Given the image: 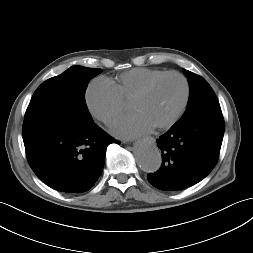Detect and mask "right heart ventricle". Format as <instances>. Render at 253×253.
<instances>
[{
    "label": "right heart ventricle",
    "instance_id": "obj_1",
    "mask_svg": "<svg viewBox=\"0 0 253 253\" xmlns=\"http://www.w3.org/2000/svg\"><path fill=\"white\" fill-rule=\"evenodd\" d=\"M165 71L151 68H134L120 74L111 83L117 89L124 102L130 101L132 97L151 79L161 75Z\"/></svg>",
    "mask_w": 253,
    "mask_h": 253
}]
</instances>
